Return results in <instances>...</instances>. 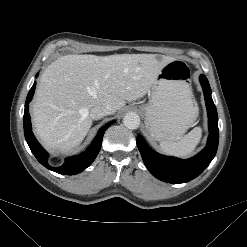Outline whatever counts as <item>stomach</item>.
Wrapping results in <instances>:
<instances>
[{
    "label": "stomach",
    "instance_id": "1",
    "mask_svg": "<svg viewBox=\"0 0 247 247\" xmlns=\"http://www.w3.org/2000/svg\"><path fill=\"white\" fill-rule=\"evenodd\" d=\"M188 76L189 68L184 62H169L152 84L149 102L140 107L146 129L156 140L177 141L196 120L197 106L188 101Z\"/></svg>",
    "mask_w": 247,
    "mask_h": 247
}]
</instances>
